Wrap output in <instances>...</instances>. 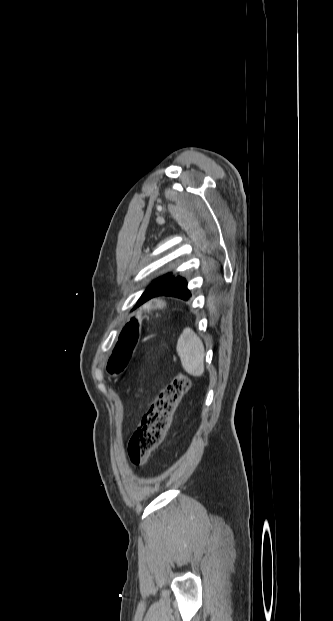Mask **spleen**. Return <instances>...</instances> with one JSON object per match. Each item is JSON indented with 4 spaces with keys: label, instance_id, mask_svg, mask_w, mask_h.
I'll list each match as a JSON object with an SVG mask.
<instances>
[{
    "label": "spleen",
    "instance_id": "obj_1",
    "mask_svg": "<svg viewBox=\"0 0 333 621\" xmlns=\"http://www.w3.org/2000/svg\"><path fill=\"white\" fill-rule=\"evenodd\" d=\"M177 353L180 357L184 370L195 377H200L204 373V345L200 338L187 328L180 335L177 346Z\"/></svg>",
    "mask_w": 333,
    "mask_h": 621
}]
</instances>
